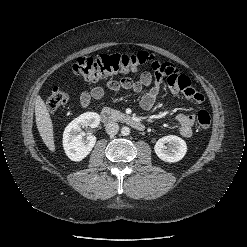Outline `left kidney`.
<instances>
[{
	"mask_svg": "<svg viewBox=\"0 0 247 247\" xmlns=\"http://www.w3.org/2000/svg\"><path fill=\"white\" fill-rule=\"evenodd\" d=\"M154 151L162 161L173 163L180 161L185 156L187 145L182 138L168 135L156 142Z\"/></svg>",
	"mask_w": 247,
	"mask_h": 247,
	"instance_id": "5707ae66",
	"label": "left kidney"
}]
</instances>
